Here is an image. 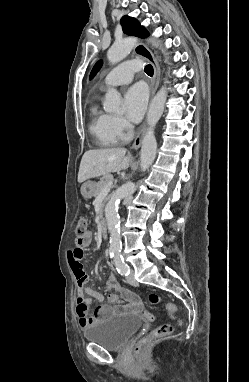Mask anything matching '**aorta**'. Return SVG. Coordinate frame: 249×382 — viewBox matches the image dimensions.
I'll use <instances>...</instances> for the list:
<instances>
[{
  "label": "aorta",
  "instance_id": "762f6f07",
  "mask_svg": "<svg viewBox=\"0 0 249 382\" xmlns=\"http://www.w3.org/2000/svg\"><path fill=\"white\" fill-rule=\"evenodd\" d=\"M135 42L136 38L134 37L124 38L115 42L107 52L108 61L111 64H115L123 60L133 49ZM149 42H151L155 47L159 46L157 41L149 40ZM166 99V86H163L150 103L147 114L148 129L143 137L141 147V171H146L155 160L157 142L154 134V129L163 114ZM103 105L107 112H118L121 105L120 93L116 89H109L105 95ZM135 190L136 185L132 182L123 185L113 194L105 208V217L110 233V251L116 256L121 254L122 249L118 205L120 199L132 195Z\"/></svg>",
  "mask_w": 249,
  "mask_h": 382
}]
</instances>
